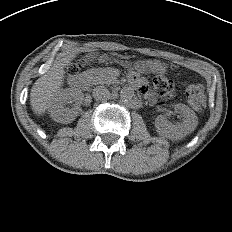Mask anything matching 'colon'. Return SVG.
Wrapping results in <instances>:
<instances>
[{"instance_id": "obj_1", "label": "colon", "mask_w": 232, "mask_h": 232, "mask_svg": "<svg viewBox=\"0 0 232 232\" xmlns=\"http://www.w3.org/2000/svg\"><path fill=\"white\" fill-rule=\"evenodd\" d=\"M81 67L82 62H74L69 65L67 71L70 75H75ZM154 88L159 96L167 97L173 91V82L164 72H159L154 79ZM187 98L195 110L201 111L205 108L206 96L202 85H190L187 89Z\"/></svg>"}]
</instances>
